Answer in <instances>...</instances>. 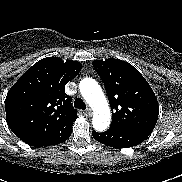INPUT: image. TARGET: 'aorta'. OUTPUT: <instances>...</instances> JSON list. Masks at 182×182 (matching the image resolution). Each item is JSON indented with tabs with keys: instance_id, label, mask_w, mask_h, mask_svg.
I'll return each mask as SVG.
<instances>
[{
	"instance_id": "762f6f07",
	"label": "aorta",
	"mask_w": 182,
	"mask_h": 182,
	"mask_svg": "<svg viewBox=\"0 0 182 182\" xmlns=\"http://www.w3.org/2000/svg\"><path fill=\"white\" fill-rule=\"evenodd\" d=\"M80 92L89 106L93 109V128L104 131L110 125L111 115L107 99L98 84L92 78H84L79 85Z\"/></svg>"
}]
</instances>
